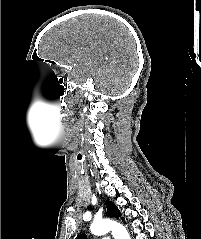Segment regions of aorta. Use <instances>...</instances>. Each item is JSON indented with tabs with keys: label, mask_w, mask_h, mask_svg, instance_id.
I'll return each instance as SVG.
<instances>
[{
	"label": "aorta",
	"mask_w": 201,
	"mask_h": 239,
	"mask_svg": "<svg viewBox=\"0 0 201 239\" xmlns=\"http://www.w3.org/2000/svg\"><path fill=\"white\" fill-rule=\"evenodd\" d=\"M90 231L94 235H105L108 232H112L114 239H130V235L126 228L113 220L102 219L94 221L90 226Z\"/></svg>",
	"instance_id": "1"
}]
</instances>
